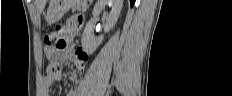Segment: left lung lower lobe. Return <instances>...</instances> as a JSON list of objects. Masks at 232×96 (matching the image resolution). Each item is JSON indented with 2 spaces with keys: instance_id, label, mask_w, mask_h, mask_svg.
<instances>
[{
  "instance_id": "1",
  "label": "left lung lower lobe",
  "mask_w": 232,
  "mask_h": 96,
  "mask_svg": "<svg viewBox=\"0 0 232 96\" xmlns=\"http://www.w3.org/2000/svg\"><path fill=\"white\" fill-rule=\"evenodd\" d=\"M134 2H135V0H130L131 6H133Z\"/></svg>"
}]
</instances>
